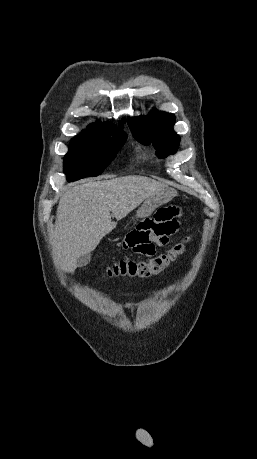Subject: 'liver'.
Instances as JSON below:
<instances>
[{"label":"liver","mask_w":257,"mask_h":459,"mask_svg":"<svg viewBox=\"0 0 257 459\" xmlns=\"http://www.w3.org/2000/svg\"><path fill=\"white\" fill-rule=\"evenodd\" d=\"M167 185L144 176H125L75 186L59 201L52 236L55 265L74 273L77 259L94 251L116 222Z\"/></svg>","instance_id":"liver-1"}]
</instances>
